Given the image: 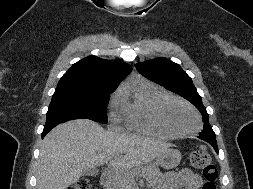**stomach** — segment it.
<instances>
[{"label": "stomach", "instance_id": "0dacf381", "mask_svg": "<svg viewBox=\"0 0 253 189\" xmlns=\"http://www.w3.org/2000/svg\"><path fill=\"white\" fill-rule=\"evenodd\" d=\"M181 161V153L174 148H168L156 158V164L165 169H172Z\"/></svg>", "mask_w": 253, "mask_h": 189}]
</instances>
